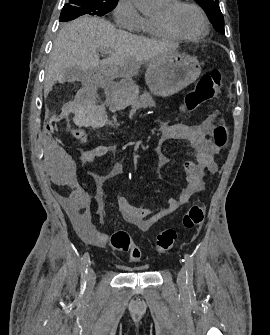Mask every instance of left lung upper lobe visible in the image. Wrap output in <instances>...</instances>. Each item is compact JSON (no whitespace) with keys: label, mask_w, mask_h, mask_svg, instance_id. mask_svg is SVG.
Wrapping results in <instances>:
<instances>
[{"label":"left lung upper lobe","mask_w":270,"mask_h":335,"mask_svg":"<svg viewBox=\"0 0 270 335\" xmlns=\"http://www.w3.org/2000/svg\"><path fill=\"white\" fill-rule=\"evenodd\" d=\"M196 3L205 11L209 21L215 29L224 34V18L219 7L218 0H195Z\"/></svg>","instance_id":"left-lung-upper-lobe-1"}]
</instances>
